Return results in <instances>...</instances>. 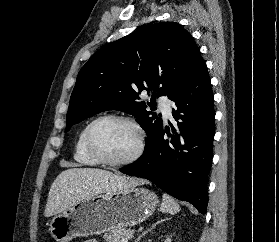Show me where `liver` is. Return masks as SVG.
Masks as SVG:
<instances>
[{
    "mask_svg": "<svg viewBox=\"0 0 279 242\" xmlns=\"http://www.w3.org/2000/svg\"><path fill=\"white\" fill-rule=\"evenodd\" d=\"M145 181L94 168H70L52 183L44 211L45 217L65 211L76 201L97 194L144 184Z\"/></svg>",
    "mask_w": 279,
    "mask_h": 242,
    "instance_id": "1",
    "label": "liver"
}]
</instances>
